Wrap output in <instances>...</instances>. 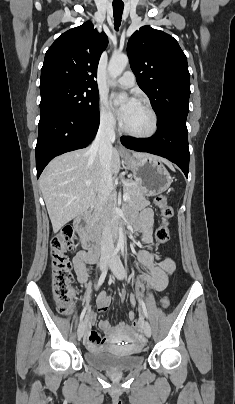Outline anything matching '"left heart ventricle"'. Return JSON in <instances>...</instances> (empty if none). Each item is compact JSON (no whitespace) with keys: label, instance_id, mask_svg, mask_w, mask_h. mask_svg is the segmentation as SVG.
<instances>
[{"label":"left heart ventricle","instance_id":"b2bd125f","mask_svg":"<svg viewBox=\"0 0 235 404\" xmlns=\"http://www.w3.org/2000/svg\"><path fill=\"white\" fill-rule=\"evenodd\" d=\"M123 123L131 131L144 133L150 129L151 117L145 108L137 104Z\"/></svg>","mask_w":235,"mask_h":404}]
</instances>
